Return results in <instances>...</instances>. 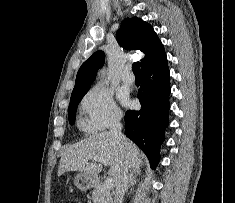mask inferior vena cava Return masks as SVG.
Returning <instances> with one entry per match:
<instances>
[{
	"label": "inferior vena cava",
	"instance_id": "1",
	"mask_svg": "<svg viewBox=\"0 0 235 203\" xmlns=\"http://www.w3.org/2000/svg\"><path fill=\"white\" fill-rule=\"evenodd\" d=\"M121 115H117L110 127V133L115 136L124 148H127L126 137L122 134ZM129 182L128 166L125 164L123 172L115 185L114 203H122L126 187Z\"/></svg>",
	"mask_w": 235,
	"mask_h": 203
}]
</instances>
